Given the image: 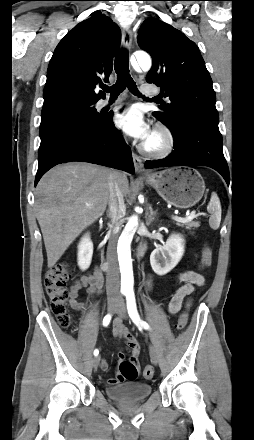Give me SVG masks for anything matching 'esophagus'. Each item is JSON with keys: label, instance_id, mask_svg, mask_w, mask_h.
<instances>
[{"label": "esophagus", "instance_id": "34e87169", "mask_svg": "<svg viewBox=\"0 0 254 440\" xmlns=\"http://www.w3.org/2000/svg\"><path fill=\"white\" fill-rule=\"evenodd\" d=\"M132 39L133 37L131 30L127 27L122 28V43L125 48L129 49L131 47ZM132 157L135 166V171L138 174L147 175L148 172L145 171L141 158L135 153H132Z\"/></svg>", "mask_w": 254, "mask_h": 440}]
</instances>
